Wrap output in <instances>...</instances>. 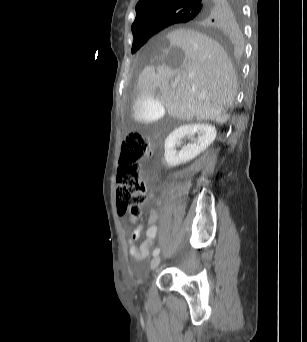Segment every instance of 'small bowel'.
Masks as SVG:
<instances>
[{
	"label": "small bowel",
	"instance_id": "small-bowel-1",
	"mask_svg": "<svg viewBox=\"0 0 307 342\" xmlns=\"http://www.w3.org/2000/svg\"><path fill=\"white\" fill-rule=\"evenodd\" d=\"M151 198V196H150ZM158 220V214L155 210H151L149 213V226L146 229V239L141 243L139 247L136 245V241L139 239L143 226H138L128 238V250L129 254L137 261L143 260L150 252L153 241L157 235L156 222Z\"/></svg>",
	"mask_w": 307,
	"mask_h": 342
}]
</instances>
